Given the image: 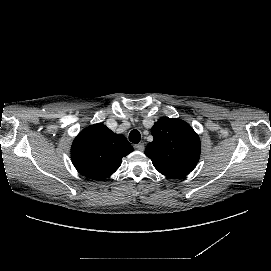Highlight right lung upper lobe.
I'll use <instances>...</instances> for the list:
<instances>
[{"label": "right lung upper lobe", "instance_id": "1", "mask_svg": "<svg viewBox=\"0 0 271 271\" xmlns=\"http://www.w3.org/2000/svg\"><path fill=\"white\" fill-rule=\"evenodd\" d=\"M133 151L124 135L114 134L103 124L91 125L74 139L71 159L83 176L102 180L121 165L122 158Z\"/></svg>", "mask_w": 271, "mask_h": 271}]
</instances>
